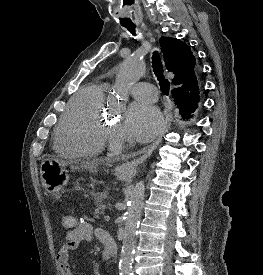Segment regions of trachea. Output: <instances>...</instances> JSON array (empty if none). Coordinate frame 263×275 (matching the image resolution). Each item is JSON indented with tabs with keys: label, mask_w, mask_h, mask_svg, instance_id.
<instances>
[{
	"label": "trachea",
	"mask_w": 263,
	"mask_h": 275,
	"mask_svg": "<svg viewBox=\"0 0 263 275\" xmlns=\"http://www.w3.org/2000/svg\"><path fill=\"white\" fill-rule=\"evenodd\" d=\"M127 29L133 35H135V27H127ZM152 67L157 79L159 80V85L162 93L164 95H168L169 89H170V83L168 82V80L164 78L162 62L157 51H155L152 56Z\"/></svg>",
	"instance_id": "1"
}]
</instances>
